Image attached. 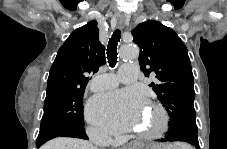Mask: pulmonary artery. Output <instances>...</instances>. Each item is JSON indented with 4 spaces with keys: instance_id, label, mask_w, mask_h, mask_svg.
<instances>
[{
    "instance_id": "pulmonary-artery-1",
    "label": "pulmonary artery",
    "mask_w": 227,
    "mask_h": 149,
    "mask_svg": "<svg viewBox=\"0 0 227 149\" xmlns=\"http://www.w3.org/2000/svg\"><path fill=\"white\" fill-rule=\"evenodd\" d=\"M137 75L138 66L136 64H125L120 68L117 76L110 73L96 75L91 86L96 91L106 90L116 87L119 81L125 84L135 83Z\"/></svg>"
}]
</instances>
